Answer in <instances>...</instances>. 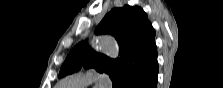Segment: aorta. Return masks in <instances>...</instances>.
<instances>
[{"label":"aorta","instance_id":"1","mask_svg":"<svg viewBox=\"0 0 223 88\" xmlns=\"http://www.w3.org/2000/svg\"><path fill=\"white\" fill-rule=\"evenodd\" d=\"M92 47L99 49L110 58H117L119 55V48L116 40L110 36H97L91 41Z\"/></svg>","mask_w":223,"mask_h":88}]
</instances>
